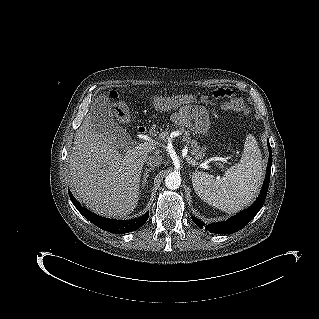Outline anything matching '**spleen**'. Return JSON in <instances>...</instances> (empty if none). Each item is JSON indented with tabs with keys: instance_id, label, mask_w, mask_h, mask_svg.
<instances>
[{
	"instance_id": "obj_1",
	"label": "spleen",
	"mask_w": 319,
	"mask_h": 319,
	"mask_svg": "<svg viewBox=\"0 0 319 319\" xmlns=\"http://www.w3.org/2000/svg\"><path fill=\"white\" fill-rule=\"evenodd\" d=\"M263 179L262 156L257 141L246 137L240 162L221 177L195 172L192 184L196 194L209 205L234 213L248 205L258 192Z\"/></svg>"
}]
</instances>
